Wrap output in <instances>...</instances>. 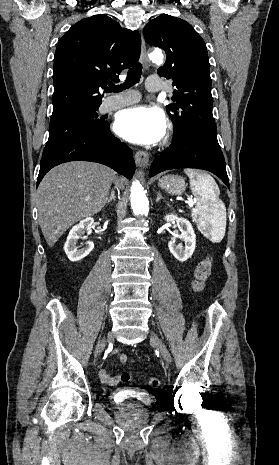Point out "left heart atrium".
<instances>
[{
	"mask_svg": "<svg viewBox=\"0 0 279 465\" xmlns=\"http://www.w3.org/2000/svg\"><path fill=\"white\" fill-rule=\"evenodd\" d=\"M114 128L118 135L129 142L151 145L164 137L167 123L161 110L136 106L120 112Z\"/></svg>",
	"mask_w": 279,
	"mask_h": 465,
	"instance_id": "1",
	"label": "left heart atrium"
}]
</instances>
